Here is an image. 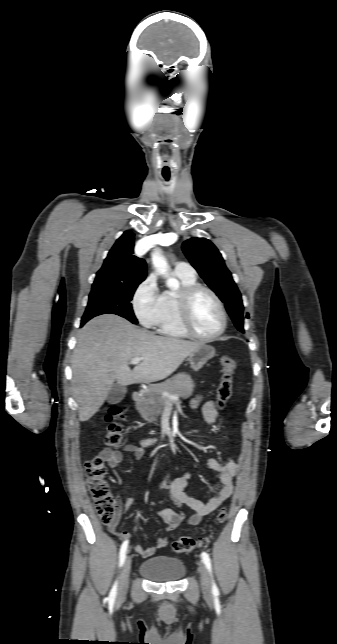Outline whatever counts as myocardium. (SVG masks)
Wrapping results in <instances>:
<instances>
[{"instance_id": "myocardium-1", "label": "myocardium", "mask_w": 337, "mask_h": 644, "mask_svg": "<svg viewBox=\"0 0 337 644\" xmlns=\"http://www.w3.org/2000/svg\"><path fill=\"white\" fill-rule=\"evenodd\" d=\"M201 292L208 293L215 300L221 313V326L219 330L211 336L200 335L198 332H196L192 324V304L196 296ZM178 317L181 326L189 336L204 342H211L222 336L227 328L228 323V314L221 298L211 288L198 283L184 287L180 291L178 296Z\"/></svg>"}]
</instances>
